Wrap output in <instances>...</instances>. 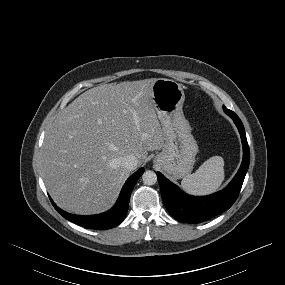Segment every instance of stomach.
<instances>
[{"instance_id":"1","label":"stomach","mask_w":285,"mask_h":285,"mask_svg":"<svg viewBox=\"0 0 285 285\" xmlns=\"http://www.w3.org/2000/svg\"><path fill=\"white\" fill-rule=\"evenodd\" d=\"M152 100L165 138L164 148L153 161L175 179L187 176L193 169L198 145L183 114L182 85L158 78L152 86Z\"/></svg>"}]
</instances>
